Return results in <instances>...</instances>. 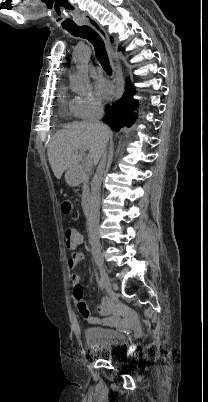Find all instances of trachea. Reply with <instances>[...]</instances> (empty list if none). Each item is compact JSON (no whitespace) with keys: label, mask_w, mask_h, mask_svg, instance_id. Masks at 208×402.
Masks as SVG:
<instances>
[{"label":"trachea","mask_w":208,"mask_h":402,"mask_svg":"<svg viewBox=\"0 0 208 402\" xmlns=\"http://www.w3.org/2000/svg\"><path fill=\"white\" fill-rule=\"evenodd\" d=\"M65 30L71 33V35H74V37L86 38L90 43H92L95 49V56L97 60L108 74L112 73L104 42L100 35L93 30V28L89 27L88 25H83L82 27L75 26L65 28Z\"/></svg>","instance_id":"trachea-1"}]
</instances>
